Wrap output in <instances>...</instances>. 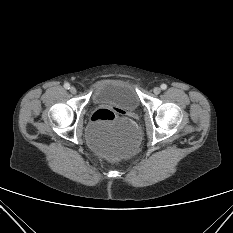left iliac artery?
Returning a JSON list of instances; mask_svg holds the SVG:
<instances>
[{
    "label": "left iliac artery",
    "mask_w": 233,
    "mask_h": 233,
    "mask_svg": "<svg viewBox=\"0 0 233 233\" xmlns=\"http://www.w3.org/2000/svg\"><path fill=\"white\" fill-rule=\"evenodd\" d=\"M160 87H161L162 90H165L167 88V85L166 84H161Z\"/></svg>",
    "instance_id": "1"
}]
</instances>
